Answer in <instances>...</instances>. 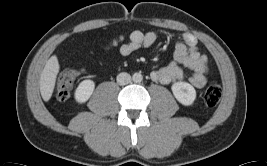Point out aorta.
Returning <instances> with one entry per match:
<instances>
[{"mask_svg":"<svg viewBox=\"0 0 267 166\" xmlns=\"http://www.w3.org/2000/svg\"><path fill=\"white\" fill-rule=\"evenodd\" d=\"M132 80L135 83H140L143 80V76L141 75V73H134L132 76Z\"/></svg>","mask_w":267,"mask_h":166,"instance_id":"1","label":"aorta"}]
</instances>
